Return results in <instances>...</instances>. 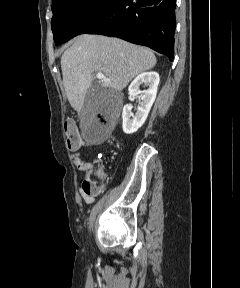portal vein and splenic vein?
<instances>
[{
    "mask_svg": "<svg viewBox=\"0 0 240 288\" xmlns=\"http://www.w3.org/2000/svg\"><path fill=\"white\" fill-rule=\"evenodd\" d=\"M97 79L102 80V81H108L109 79L105 77L103 73H97L96 74Z\"/></svg>",
    "mask_w": 240,
    "mask_h": 288,
    "instance_id": "18ae733b",
    "label": "portal vein and splenic vein"
}]
</instances>
